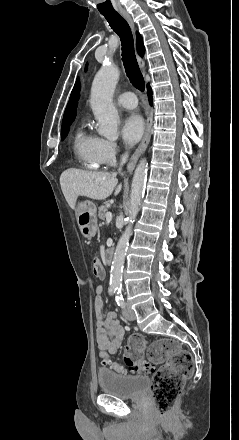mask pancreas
Here are the masks:
<instances>
[{
    "label": "pancreas",
    "mask_w": 239,
    "mask_h": 440,
    "mask_svg": "<svg viewBox=\"0 0 239 440\" xmlns=\"http://www.w3.org/2000/svg\"><path fill=\"white\" fill-rule=\"evenodd\" d=\"M107 208H108V206H99L98 216H99L100 220H105Z\"/></svg>",
    "instance_id": "1"
}]
</instances>
